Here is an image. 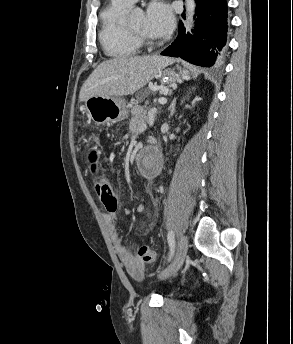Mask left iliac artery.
Here are the masks:
<instances>
[{"label":"left iliac artery","instance_id":"1","mask_svg":"<svg viewBox=\"0 0 293 344\" xmlns=\"http://www.w3.org/2000/svg\"><path fill=\"white\" fill-rule=\"evenodd\" d=\"M167 240H168V244L170 247V255H169V259H168V261H170L171 258L173 257L174 249H175V235H174L173 231H169V233L167 235Z\"/></svg>","mask_w":293,"mask_h":344}]
</instances>
